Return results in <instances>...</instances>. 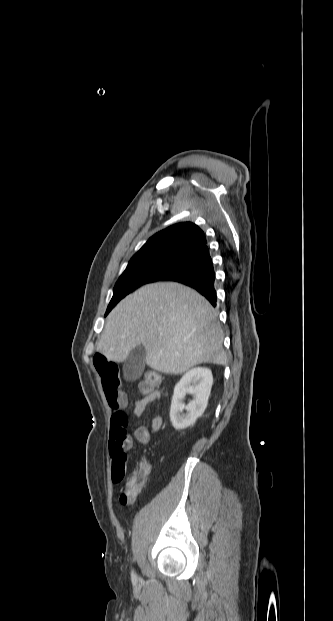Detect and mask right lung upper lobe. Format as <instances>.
I'll list each match as a JSON object with an SVG mask.
<instances>
[{
    "label": "right lung upper lobe",
    "instance_id": "obj_1",
    "mask_svg": "<svg viewBox=\"0 0 333 621\" xmlns=\"http://www.w3.org/2000/svg\"><path fill=\"white\" fill-rule=\"evenodd\" d=\"M206 244L205 234L196 224L177 223L150 237L129 263L168 257L186 259Z\"/></svg>",
    "mask_w": 333,
    "mask_h": 621
}]
</instances>
